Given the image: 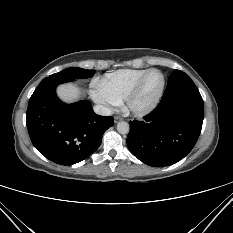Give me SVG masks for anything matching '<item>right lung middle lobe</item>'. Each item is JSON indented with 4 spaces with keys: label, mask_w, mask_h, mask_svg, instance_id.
<instances>
[{
    "label": "right lung middle lobe",
    "mask_w": 233,
    "mask_h": 233,
    "mask_svg": "<svg viewBox=\"0 0 233 233\" xmlns=\"http://www.w3.org/2000/svg\"><path fill=\"white\" fill-rule=\"evenodd\" d=\"M94 73H95V70H87V69H82V68H77V67H71L61 72L55 73L51 76L58 77V78H68V79L73 80L75 78H80V79L90 78L94 75Z\"/></svg>",
    "instance_id": "1"
}]
</instances>
